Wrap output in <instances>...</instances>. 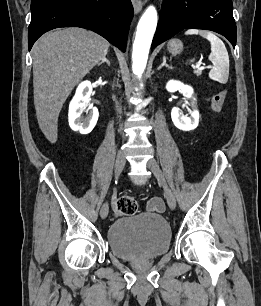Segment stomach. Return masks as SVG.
Segmentation results:
<instances>
[{
    "instance_id": "1",
    "label": "stomach",
    "mask_w": 261,
    "mask_h": 306,
    "mask_svg": "<svg viewBox=\"0 0 261 306\" xmlns=\"http://www.w3.org/2000/svg\"><path fill=\"white\" fill-rule=\"evenodd\" d=\"M167 48L172 55H177L183 50V43L179 39H172Z\"/></svg>"
}]
</instances>
